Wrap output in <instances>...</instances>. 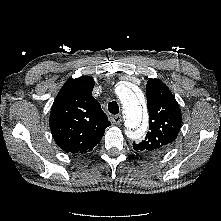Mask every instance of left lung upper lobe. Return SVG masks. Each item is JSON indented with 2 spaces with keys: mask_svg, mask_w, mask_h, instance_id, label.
Instances as JSON below:
<instances>
[{
  "mask_svg": "<svg viewBox=\"0 0 221 221\" xmlns=\"http://www.w3.org/2000/svg\"><path fill=\"white\" fill-rule=\"evenodd\" d=\"M146 91L149 132L142 142H133V149L156 156L166 151L177 138L181 128V111L171 91L160 80L149 79Z\"/></svg>",
  "mask_w": 221,
  "mask_h": 221,
  "instance_id": "1",
  "label": "left lung upper lobe"
}]
</instances>
